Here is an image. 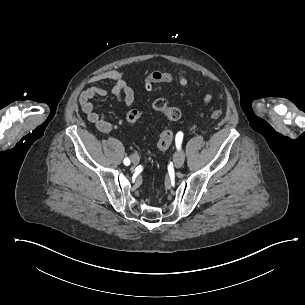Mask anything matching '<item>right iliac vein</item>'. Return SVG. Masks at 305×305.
Segmentation results:
<instances>
[{
    "label": "right iliac vein",
    "instance_id": "63e3f726",
    "mask_svg": "<svg viewBox=\"0 0 305 305\" xmlns=\"http://www.w3.org/2000/svg\"><path fill=\"white\" fill-rule=\"evenodd\" d=\"M131 162L134 164V165H137L139 162H140V157L137 155V154H133L131 156Z\"/></svg>",
    "mask_w": 305,
    "mask_h": 305
}]
</instances>
